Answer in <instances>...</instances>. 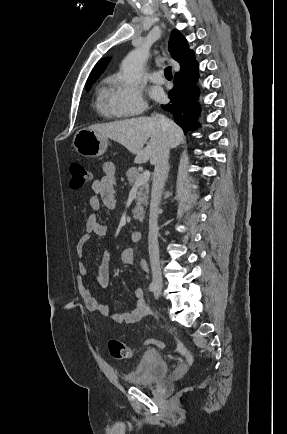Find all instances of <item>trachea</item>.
Wrapping results in <instances>:
<instances>
[{"label": "trachea", "instance_id": "trachea-1", "mask_svg": "<svg viewBox=\"0 0 287 434\" xmlns=\"http://www.w3.org/2000/svg\"><path fill=\"white\" fill-rule=\"evenodd\" d=\"M164 75H165L166 78L172 79V71H171V67L170 66H168V67L165 68Z\"/></svg>", "mask_w": 287, "mask_h": 434}]
</instances>
